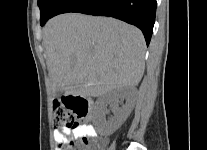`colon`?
Returning a JSON list of instances; mask_svg holds the SVG:
<instances>
[{
  "mask_svg": "<svg viewBox=\"0 0 207 150\" xmlns=\"http://www.w3.org/2000/svg\"><path fill=\"white\" fill-rule=\"evenodd\" d=\"M88 112V100L69 97V100L53 104V124L56 127L77 128L83 125ZM60 150H100L102 142L81 138L79 141L65 140L58 144Z\"/></svg>",
  "mask_w": 207,
  "mask_h": 150,
  "instance_id": "obj_1",
  "label": "colon"
}]
</instances>
